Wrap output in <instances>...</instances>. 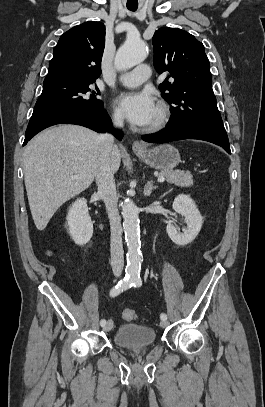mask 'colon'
Segmentation results:
<instances>
[{"label": "colon", "mask_w": 265, "mask_h": 407, "mask_svg": "<svg viewBox=\"0 0 265 407\" xmlns=\"http://www.w3.org/2000/svg\"><path fill=\"white\" fill-rule=\"evenodd\" d=\"M123 319H124L125 321H128V322L134 321V320L137 319V314H136V312H135L134 310H132V309H125V310L123 311Z\"/></svg>", "instance_id": "colon-1"}]
</instances>
